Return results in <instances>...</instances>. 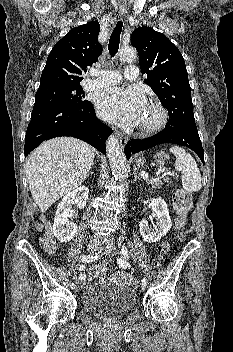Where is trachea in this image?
Wrapping results in <instances>:
<instances>
[{
  "label": "trachea",
  "mask_w": 233,
  "mask_h": 352,
  "mask_svg": "<svg viewBox=\"0 0 233 352\" xmlns=\"http://www.w3.org/2000/svg\"><path fill=\"white\" fill-rule=\"evenodd\" d=\"M122 26H123V22L118 21L110 36L108 49L111 57H114L118 51Z\"/></svg>",
  "instance_id": "obj_1"
}]
</instances>
